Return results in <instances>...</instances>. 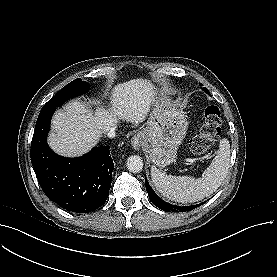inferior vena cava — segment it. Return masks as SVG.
Masks as SVG:
<instances>
[{"label":"inferior vena cava","instance_id":"obj_1","mask_svg":"<svg viewBox=\"0 0 277 277\" xmlns=\"http://www.w3.org/2000/svg\"><path fill=\"white\" fill-rule=\"evenodd\" d=\"M107 136L109 138H114L116 136V127H111L110 130L108 131Z\"/></svg>","mask_w":277,"mask_h":277}]
</instances>
